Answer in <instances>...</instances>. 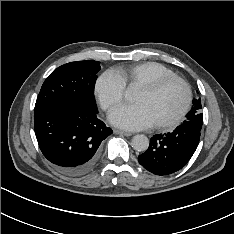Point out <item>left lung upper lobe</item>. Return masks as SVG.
<instances>
[{
	"instance_id": "left-lung-upper-lobe-1",
	"label": "left lung upper lobe",
	"mask_w": 234,
	"mask_h": 234,
	"mask_svg": "<svg viewBox=\"0 0 234 234\" xmlns=\"http://www.w3.org/2000/svg\"><path fill=\"white\" fill-rule=\"evenodd\" d=\"M201 99H193V106L186 116L184 125L201 130L203 124V114L201 113Z\"/></svg>"
}]
</instances>
